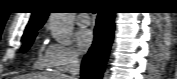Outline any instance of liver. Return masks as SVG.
Segmentation results:
<instances>
[{"mask_svg": "<svg viewBox=\"0 0 177 79\" xmlns=\"http://www.w3.org/2000/svg\"><path fill=\"white\" fill-rule=\"evenodd\" d=\"M18 79H69L65 74H35L28 76H19Z\"/></svg>", "mask_w": 177, "mask_h": 79, "instance_id": "1", "label": "liver"}]
</instances>
